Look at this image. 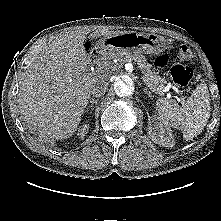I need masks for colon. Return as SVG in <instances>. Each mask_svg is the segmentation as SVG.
Instances as JSON below:
<instances>
[{"label":"colon","mask_w":221,"mask_h":221,"mask_svg":"<svg viewBox=\"0 0 221 221\" xmlns=\"http://www.w3.org/2000/svg\"><path fill=\"white\" fill-rule=\"evenodd\" d=\"M166 61L165 56L157 58L156 64L163 65ZM194 61V54L188 46H182L178 53V62L171 67V76L174 82L180 86L187 85L192 77L193 71L184 63H191Z\"/></svg>","instance_id":"5ec220e1"}]
</instances>
